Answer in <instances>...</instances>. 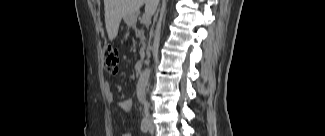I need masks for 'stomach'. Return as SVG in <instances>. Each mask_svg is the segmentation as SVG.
I'll use <instances>...</instances> for the list:
<instances>
[{
  "mask_svg": "<svg viewBox=\"0 0 325 136\" xmlns=\"http://www.w3.org/2000/svg\"><path fill=\"white\" fill-rule=\"evenodd\" d=\"M137 17L135 15H128L124 17V20L128 25H133L136 22Z\"/></svg>",
  "mask_w": 325,
  "mask_h": 136,
  "instance_id": "0dacf381",
  "label": "stomach"
}]
</instances>
